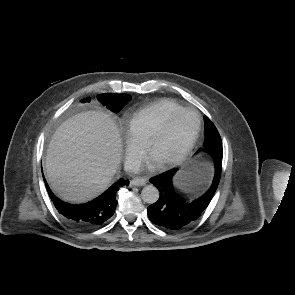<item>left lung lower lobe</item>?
Instances as JSON below:
<instances>
[{
    "mask_svg": "<svg viewBox=\"0 0 295 295\" xmlns=\"http://www.w3.org/2000/svg\"><path fill=\"white\" fill-rule=\"evenodd\" d=\"M208 153L214 160L215 175L209 190L198 199L191 201L173 191L172 177L176 173L175 169L150 179L160 192L158 201L147 209L148 217L154 224L168 230H179L201 216L215 194L222 170L223 153L219 151Z\"/></svg>",
    "mask_w": 295,
    "mask_h": 295,
    "instance_id": "left-lung-lower-lobe-1",
    "label": "left lung lower lobe"
}]
</instances>
